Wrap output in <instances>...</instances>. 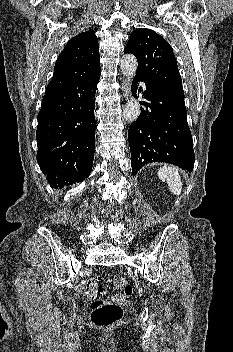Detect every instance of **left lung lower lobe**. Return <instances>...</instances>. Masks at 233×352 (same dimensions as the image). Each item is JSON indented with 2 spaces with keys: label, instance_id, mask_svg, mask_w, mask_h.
<instances>
[{
  "label": "left lung lower lobe",
  "instance_id": "0a47b994",
  "mask_svg": "<svg viewBox=\"0 0 233 352\" xmlns=\"http://www.w3.org/2000/svg\"><path fill=\"white\" fill-rule=\"evenodd\" d=\"M143 81L135 76L132 93L141 92L137 83ZM144 82V81H143ZM141 113L128 130L133 175L150 162H166L192 171L194 150L187 123L185 103L157 87L144 82Z\"/></svg>",
  "mask_w": 233,
  "mask_h": 352
}]
</instances>
